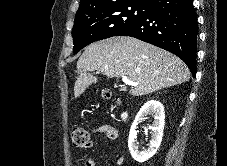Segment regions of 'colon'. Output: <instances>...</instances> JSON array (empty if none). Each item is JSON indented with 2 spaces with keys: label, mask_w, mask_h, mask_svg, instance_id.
Returning a JSON list of instances; mask_svg holds the SVG:
<instances>
[{
  "label": "colon",
  "mask_w": 227,
  "mask_h": 166,
  "mask_svg": "<svg viewBox=\"0 0 227 166\" xmlns=\"http://www.w3.org/2000/svg\"><path fill=\"white\" fill-rule=\"evenodd\" d=\"M70 137L75 146H89L92 141L90 133L84 127L79 125L72 126Z\"/></svg>",
  "instance_id": "obj_1"
}]
</instances>
